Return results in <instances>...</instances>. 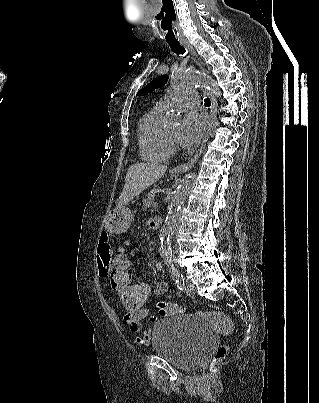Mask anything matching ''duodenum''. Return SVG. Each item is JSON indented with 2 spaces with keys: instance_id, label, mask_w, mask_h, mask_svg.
Returning <instances> with one entry per match:
<instances>
[{
  "instance_id": "obj_1",
  "label": "duodenum",
  "mask_w": 319,
  "mask_h": 403,
  "mask_svg": "<svg viewBox=\"0 0 319 403\" xmlns=\"http://www.w3.org/2000/svg\"><path fill=\"white\" fill-rule=\"evenodd\" d=\"M160 225H161V222H160V220L158 218H153L152 219L151 228L153 230H156V231L159 230Z\"/></svg>"
}]
</instances>
